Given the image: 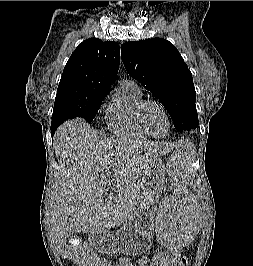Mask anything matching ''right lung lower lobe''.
Masks as SVG:
<instances>
[{
  "instance_id": "1",
  "label": "right lung lower lobe",
  "mask_w": 253,
  "mask_h": 266,
  "mask_svg": "<svg viewBox=\"0 0 253 266\" xmlns=\"http://www.w3.org/2000/svg\"><path fill=\"white\" fill-rule=\"evenodd\" d=\"M59 125L58 124H51V135L53 137L55 130L57 129Z\"/></svg>"
}]
</instances>
